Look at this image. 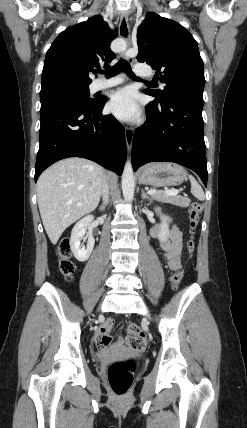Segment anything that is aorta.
Segmentation results:
<instances>
[{"mask_svg":"<svg viewBox=\"0 0 247 428\" xmlns=\"http://www.w3.org/2000/svg\"><path fill=\"white\" fill-rule=\"evenodd\" d=\"M125 55V57H134L137 52L135 50L129 49L126 50V46L123 45L120 48ZM134 174L133 168L130 160H127L124 166L123 174H122V191L123 196L126 201H132L134 197Z\"/></svg>","mask_w":247,"mask_h":428,"instance_id":"obj_1","label":"aorta"}]
</instances>
